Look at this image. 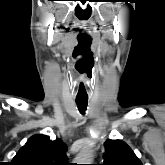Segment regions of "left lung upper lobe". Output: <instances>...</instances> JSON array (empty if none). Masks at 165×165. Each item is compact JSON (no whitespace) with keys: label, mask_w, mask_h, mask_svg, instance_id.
I'll list each match as a JSON object with an SVG mask.
<instances>
[{"label":"left lung upper lobe","mask_w":165,"mask_h":165,"mask_svg":"<svg viewBox=\"0 0 165 165\" xmlns=\"http://www.w3.org/2000/svg\"><path fill=\"white\" fill-rule=\"evenodd\" d=\"M102 165H142L130 147L121 140H107Z\"/></svg>","instance_id":"obj_1"}]
</instances>
